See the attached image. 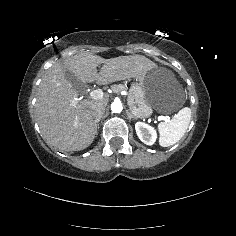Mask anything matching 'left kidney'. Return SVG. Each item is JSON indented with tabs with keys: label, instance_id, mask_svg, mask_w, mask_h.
Here are the masks:
<instances>
[{
	"label": "left kidney",
	"instance_id": "5707ae66",
	"mask_svg": "<svg viewBox=\"0 0 236 236\" xmlns=\"http://www.w3.org/2000/svg\"><path fill=\"white\" fill-rule=\"evenodd\" d=\"M136 133L139 139L146 145H154L158 139V132L156 128L143 121L135 123Z\"/></svg>",
	"mask_w": 236,
	"mask_h": 236
}]
</instances>
